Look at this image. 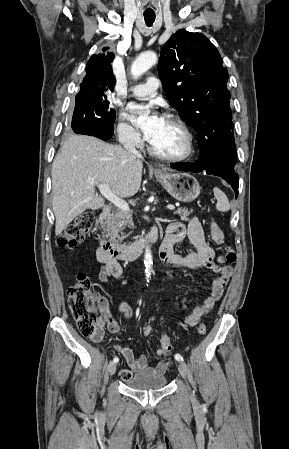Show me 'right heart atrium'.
Returning <instances> with one entry per match:
<instances>
[{
  "mask_svg": "<svg viewBox=\"0 0 289 449\" xmlns=\"http://www.w3.org/2000/svg\"><path fill=\"white\" fill-rule=\"evenodd\" d=\"M117 135L119 142L124 146L135 147L141 144L139 133L123 118H120L117 125Z\"/></svg>",
  "mask_w": 289,
  "mask_h": 449,
  "instance_id": "obj_1",
  "label": "right heart atrium"
}]
</instances>
